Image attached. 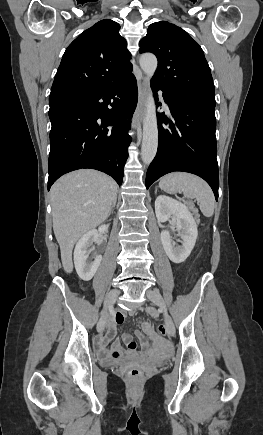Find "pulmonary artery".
<instances>
[{
	"label": "pulmonary artery",
	"instance_id": "e3ab8cb5",
	"mask_svg": "<svg viewBox=\"0 0 263 435\" xmlns=\"http://www.w3.org/2000/svg\"><path fill=\"white\" fill-rule=\"evenodd\" d=\"M162 101H163V105H164V107L168 110L169 108H168V105H167V103L164 101V99L162 98Z\"/></svg>",
	"mask_w": 263,
	"mask_h": 435
}]
</instances>
